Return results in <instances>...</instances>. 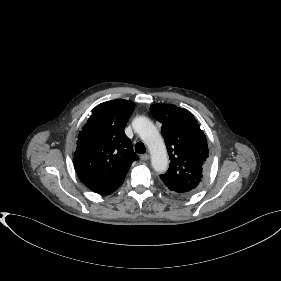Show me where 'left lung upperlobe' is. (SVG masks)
<instances>
[{"mask_svg": "<svg viewBox=\"0 0 281 281\" xmlns=\"http://www.w3.org/2000/svg\"><path fill=\"white\" fill-rule=\"evenodd\" d=\"M150 111L162 123V135L171 160L168 171L160 178L171 192L190 196L200 189L209 173L206 137L188 110L158 103L151 105Z\"/></svg>", "mask_w": 281, "mask_h": 281, "instance_id": "5c2ea615", "label": "left lung upper lobe"}]
</instances>
